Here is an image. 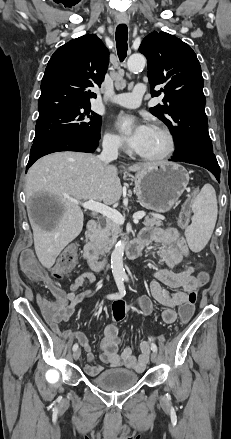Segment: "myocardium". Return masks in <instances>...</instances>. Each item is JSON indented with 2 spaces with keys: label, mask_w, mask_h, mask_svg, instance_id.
Wrapping results in <instances>:
<instances>
[{
  "label": "myocardium",
  "mask_w": 231,
  "mask_h": 439,
  "mask_svg": "<svg viewBox=\"0 0 231 439\" xmlns=\"http://www.w3.org/2000/svg\"><path fill=\"white\" fill-rule=\"evenodd\" d=\"M153 128L159 130L167 140V147L164 152L158 155H144L137 152V155L147 161H162L170 158L176 150V140L171 130L162 124H155Z\"/></svg>",
  "instance_id": "f54148a6"
}]
</instances>
